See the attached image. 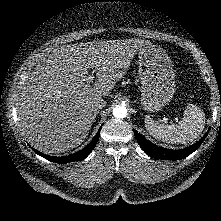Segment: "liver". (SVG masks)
I'll return each instance as SVG.
<instances>
[{
    "label": "liver",
    "instance_id": "obj_1",
    "mask_svg": "<svg viewBox=\"0 0 221 221\" xmlns=\"http://www.w3.org/2000/svg\"><path fill=\"white\" fill-rule=\"evenodd\" d=\"M150 44L127 39L55 49L34 68L19 98V126L29 143L45 154L79 146L92 126L93 102L110 94L136 52ZM91 68L98 78L93 85L86 81Z\"/></svg>",
    "mask_w": 221,
    "mask_h": 221
}]
</instances>
